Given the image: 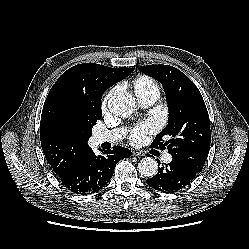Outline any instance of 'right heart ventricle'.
I'll return each instance as SVG.
<instances>
[{
    "label": "right heart ventricle",
    "instance_id": "obj_1",
    "mask_svg": "<svg viewBox=\"0 0 249 249\" xmlns=\"http://www.w3.org/2000/svg\"><path fill=\"white\" fill-rule=\"evenodd\" d=\"M129 85L133 88L138 99L149 94L159 95L158 83L148 75H137L129 82Z\"/></svg>",
    "mask_w": 249,
    "mask_h": 249
}]
</instances>
